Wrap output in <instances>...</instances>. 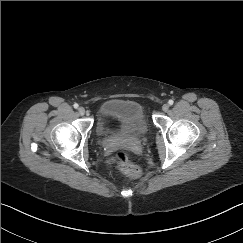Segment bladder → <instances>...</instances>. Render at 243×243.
<instances>
[{
  "label": "bladder",
  "mask_w": 243,
  "mask_h": 243,
  "mask_svg": "<svg viewBox=\"0 0 243 243\" xmlns=\"http://www.w3.org/2000/svg\"><path fill=\"white\" fill-rule=\"evenodd\" d=\"M118 126L117 134L124 141L143 139L148 134V121L143 107L132 100L110 98L101 108L95 125L97 136L106 138L109 124Z\"/></svg>",
  "instance_id": "bladder-1"
}]
</instances>
